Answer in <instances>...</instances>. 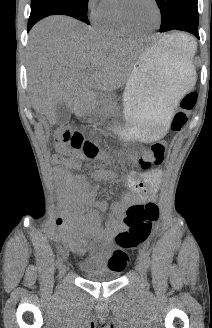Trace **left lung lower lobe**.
<instances>
[{"label": "left lung lower lobe", "mask_w": 212, "mask_h": 328, "mask_svg": "<svg viewBox=\"0 0 212 328\" xmlns=\"http://www.w3.org/2000/svg\"><path fill=\"white\" fill-rule=\"evenodd\" d=\"M171 30L186 31V32H189V33L195 35L199 39L198 28H194V27L186 26V25H180V26L173 27Z\"/></svg>", "instance_id": "obj_1"}]
</instances>
